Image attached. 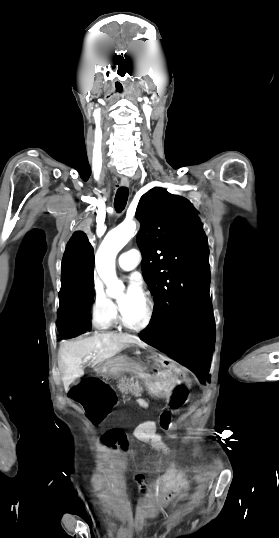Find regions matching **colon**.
<instances>
[{
	"instance_id": "5ec220e1",
	"label": "colon",
	"mask_w": 279,
	"mask_h": 538,
	"mask_svg": "<svg viewBox=\"0 0 279 538\" xmlns=\"http://www.w3.org/2000/svg\"><path fill=\"white\" fill-rule=\"evenodd\" d=\"M102 443L104 445H108V446H113V447H119L120 449L122 450H126L127 449V439H126V435L123 431H120V430H110L108 432H106L102 439H101ZM136 480L138 481V483H142L143 481V475L142 474H138L136 476ZM145 487L143 486L142 487V493H145Z\"/></svg>"
}]
</instances>
